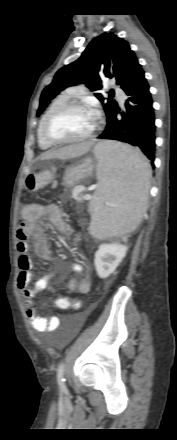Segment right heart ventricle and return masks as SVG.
I'll list each match as a JSON object with an SVG mask.
<instances>
[{
    "mask_svg": "<svg viewBox=\"0 0 177 440\" xmlns=\"http://www.w3.org/2000/svg\"><path fill=\"white\" fill-rule=\"evenodd\" d=\"M71 99H72L71 94L63 93V94L59 95L58 97H56L55 99H53L50 102V104L48 105V107L46 108L45 112L43 113V115L39 121L38 128H37L38 143L42 149H49L54 146L53 144L49 143L42 135V127H43L44 121L46 120L48 115L53 110H55L57 107L65 104V103L70 102Z\"/></svg>",
    "mask_w": 177,
    "mask_h": 440,
    "instance_id": "e07e8e85",
    "label": "right heart ventricle"
}]
</instances>
